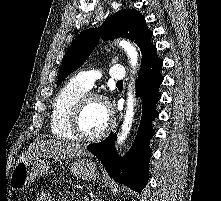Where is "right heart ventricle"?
<instances>
[{"instance_id": "1", "label": "right heart ventricle", "mask_w": 221, "mask_h": 201, "mask_svg": "<svg viewBox=\"0 0 221 201\" xmlns=\"http://www.w3.org/2000/svg\"><path fill=\"white\" fill-rule=\"evenodd\" d=\"M87 92L74 81L65 85L56 95L50 115L52 133L64 140H74L70 129V119L73 108L78 100Z\"/></svg>"}]
</instances>
